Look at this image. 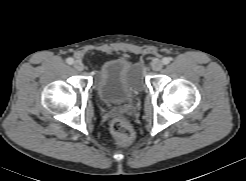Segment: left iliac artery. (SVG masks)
<instances>
[{
	"instance_id": "left-iliac-artery-1",
	"label": "left iliac artery",
	"mask_w": 246,
	"mask_h": 181,
	"mask_svg": "<svg viewBox=\"0 0 246 181\" xmlns=\"http://www.w3.org/2000/svg\"><path fill=\"white\" fill-rule=\"evenodd\" d=\"M171 60H172V59H171L170 57H164V58L162 59V62H163V64L167 65V64L170 63Z\"/></svg>"
}]
</instances>
